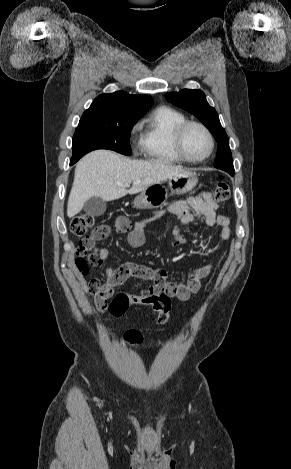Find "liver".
<instances>
[{"label": "liver", "instance_id": "1", "mask_svg": "<svg viewBox=\"0 0 291 469\" xmlns=\"http://www.w3.org/2000/svg\"><path fill=\"white\" fill-rule=\"evenodd\" d=\"M184 170L158 161L131 160L109 150H96L76 165L67 205L69 218L78 214L91 197L112 201L136 194ZM133 183L127 190L126 186Z\"/></svg>", "mask_w": 291, "mask_h": 469}]
</instances>
